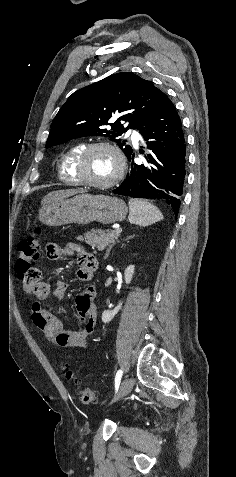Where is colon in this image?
Returning <instances> with one entry per match:
<instances>
[{
	"instance_id": "obj_1",
	"label": "colon",
	"mask_w": 236,
	"mask_h": 477,
	"mask_svg": "<svg viewBox=\"0 0 236 477\" xmlns=\"http://www.w3.org/2000/svg\"><path fill=\"white\" fill-rule=\"evenodd\" d=\"M36 233H40V228L36 229ZM39 260L40 247L37 239L27 238L19 243L15 271L29 293H34L41 282V272L38 267ZM66 378L78 388V398L81 403L89 404L94 402V391L89 387L83 386L76 375L68 368L66 369Z\"/></svg>"
}]
</instances>
